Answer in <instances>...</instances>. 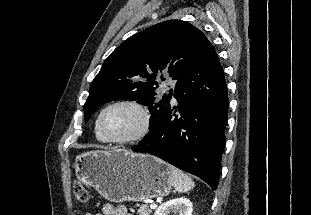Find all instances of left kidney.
Returning a JSON list of instances; mask_svg holds the SVG:
<instances>
[{
  "label": "left kidney",
  "mask_w": 311,
  "mask_h": 215,
  "mask_svg": "<svg viewBox=\"0 0 311 215\" xmlns=\"http://www.w3.org/2000/svg\"><path fill=\"white\" fill-rule=\"evenodd\" d=\"M193 205L187 198H176L165 202L157 208L154 215H168L171 212L177 215H192Z\"/></svg>",
  "instance_id": "obj_1"
}]
</instances>
